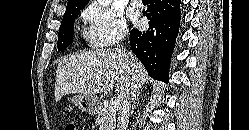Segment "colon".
Instances as JSON below:
<instances>
[{
	"label": "colon",
	"mask_w": 249,
	"mask_h": 130,
	"mask_svg": "<svg viewBox=\"0 0 249 130\" xmlns=\"http://www.w3.org/2000/svg\"><path fill=\"white\" fill-rule=\"evenodd\" d=\"M63 130H78V128L73 122H68L64 125Z\"/></svg>",
	"instance_id": "5ec220e1"
}]
</instances>
